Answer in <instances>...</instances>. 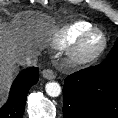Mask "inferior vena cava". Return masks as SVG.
<instances>
[{
  "instance_id": "602c4592",
  "label": "inferior vena cava",
  "mask_w": 118,
  "mask_h": 118,
  "mask_svg": "<svg viewBox=\"0 0 118 118\" xmlns=\"http://www.w3.org/2000/svg\"><path fill=\"white\" fill-rule=\"evenodd\" d=\"M38 60V55L35 52L29 53L23 57L20 64L23 66H36Z\"/></svg>"
}]
</instances>
